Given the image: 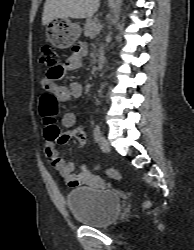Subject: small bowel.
Segmentation results:
<instances>
[{
    "label": "small bowel",
    "mask_w": 194,
    "mask_h": 250,
    "mask_svg": "<svg viewBox=\"0 0 194 250\" xmlns=\"http://www.w3.org/2000/svg\"><path fill=\"white\" fill-rule=\"evenodd\" d=\"M87 46L85 43H79L74 48V53L71 55L64 66H60L61 75L66 70L78 69L83 64V57L87 54ZM44 88L48 89L60 102H69L78 99L82 95L83 86L80 82H72L68 86H64L54 82L51 77H46L42 80ZM42 115V114H41ZM55 118L47 115H42L44 122L43 136L45 139V153L52 165V167L60 173L66 180L67 184L71 187L80 186L90 183L93 176L86 165H82L81 172L76 174L74 172L73 164L67 162L56 150L55 143L66 144L72 138L69 133L62 134L55 124ZM62 122L67 128L74 126L76 116L72 113H67L62 117ZM86 134L83 132L82 141L86 142Z\"/></svg>",
    "instance_id": "c3829d8e"
}]
</instances>
